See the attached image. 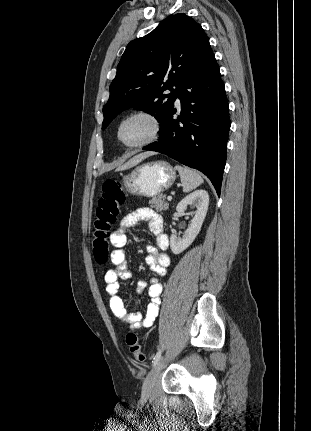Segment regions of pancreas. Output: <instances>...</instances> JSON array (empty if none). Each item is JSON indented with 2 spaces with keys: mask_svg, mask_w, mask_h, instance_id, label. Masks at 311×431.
<instances>
[{
  "mask_svg": "<svg viewBox=\"0 0 311 431\" xmlns=\"http://www.w3.org/2000/svg\"><path fill=\"white\" fill-rule=\"evenodd\" d=\"M165 196L163 194H160V196H157V198H152V200H149V204H151V208H154L156 212H164V210H168L169 204L168 202H164Z\"/></svg>",
  "mask_w": 311,
  "mask_h": 431,
  "instance_id": "pancreas-1",
  "label": "pancreas"
}]
</instances>
